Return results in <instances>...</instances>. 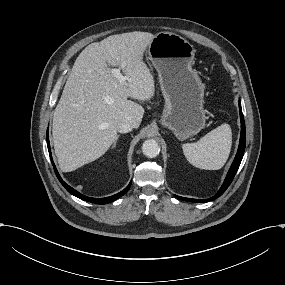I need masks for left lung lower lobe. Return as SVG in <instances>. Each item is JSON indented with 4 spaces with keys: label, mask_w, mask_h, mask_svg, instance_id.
<instances>
[{
    "label": "left lung lower lobe",
    "mask_w": 285,
    "mask_h": 285,
    "mask_svg": "<svg viewBox=\"0 0 285 285\" xmlns=\"http://www.w3.org/2000/svg\"><path fill=\"white\" fill-rule=\"evenodd\" d=\"M239 111H240V119H241V136H240V143H239V147H238V151L236 154V157L234 159V162L232 163L227 176L224 180V183L222 184L221 188L219 189V191L212 197L208 198V199H191V198H184V197H180V196H176L178 199L180 200H184V201H188V202H208V201H212L215 200L216 198L220 197L225 190L229 187L230 183L232 182L238 168L239 165L241 163L244 151H245V144H246V132H245V122H244V117H243V113H242V109H241V104L239 102Z\"/></svg>",
    "instance_id": "left-lung-lower-lobe-1"
}]
</instances>
